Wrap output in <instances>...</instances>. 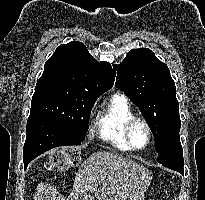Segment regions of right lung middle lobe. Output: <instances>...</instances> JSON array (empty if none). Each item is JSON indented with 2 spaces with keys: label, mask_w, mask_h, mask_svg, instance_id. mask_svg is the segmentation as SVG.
Here are the masks:
<instances>
[{
  "label": "right lung middle lobe",
  "mask_w": 205,
  "mask_h": 200,
  "mask_svg": "<svg viewBox=\"0 0 205 200\" xmlns=\"http://www.w3.org/2000/svg\"><path fill=\"white\" fill-rule=\"evenodd\" d=\"M97 97L74 85L60 81H38L31 101V115L58 124L74 139L83 142Z\"/></svg>",
  "instance_id": "right-lung-middle-lobe-1"
}]
</instances>
